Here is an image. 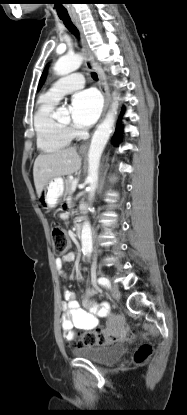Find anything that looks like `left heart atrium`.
Returning a JSON list of instances; mask_svg holds the SVG:
<instances>
[{"mask_svg": "<svg viewBox=\"0 0 187 415\" xmlns=\"http://www.w3.org/2000/svg\"><path fill=\"white\" fill-rule=\"evenodd\" d=\"M101 98L93 89H86L76 93L71 100V118L76 127L91 126L101 111Z\"/></svg>", "mask_w": 187, "mask_h": 415, "instance_id": "1", "label": "left heart atrium"}]
</instances>
